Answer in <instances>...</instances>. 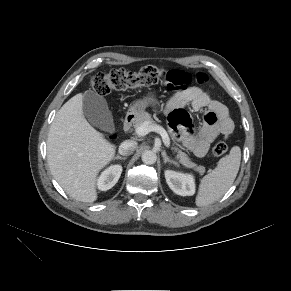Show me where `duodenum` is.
<instances>
[{"mask_svg":"<svg viewBox=\"0 0 291 291\" xmlns=\"http://www.w3.org/2000/svg\"><path fill=\"white\" fill-rule=\"evenodd\" d=\"M135 119H136V115L134 113H128L126 115L124 123H123V129L125 132H128L131 129Z\"/></svg>","mask_w":291,"mask_h":291,"instance_id":"1","label":"duodenum"}]
</instances>
